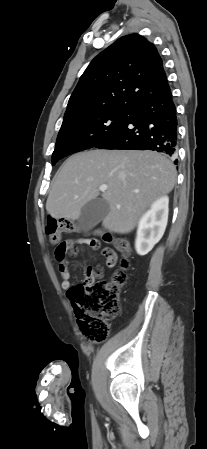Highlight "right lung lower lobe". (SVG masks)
<instances>
[{
    "mask_svg": "<svg viewBox=\"0 0 207 449\" xmlns=\"http://www.w3.org/2000/svg\"><path fill=\"white\" fill-rule=\"evenodd\" d=\"M177 125L176 106L170 90L135 107L132 115L117 132L94 147L152 150L175 157Z\"/></svg>",
    "mask_w": 207,
    "mask_h": 449,
    "instance_id": "1",
    "label": "right lung lower lobe"
}]
</instances>
